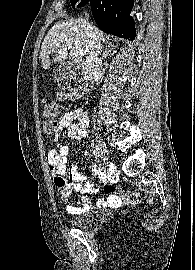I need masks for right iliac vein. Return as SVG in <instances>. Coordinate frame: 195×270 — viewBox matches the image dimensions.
<instances>
[{"instance_id":"63e3f726","label":"right iliac vein","mask_w":195,"mask_h":270,"mask_svg":"<svg viewBox=\"0 0 195 270\" xmlns=\"http://www.w3.org/2000/svg\"><path fill=\"white\" fill-rule=\"evenodd\" d=\"M96 146H97V149H98V153H99L104 165L106 166L108 164L107 147H106L105 143L103 142V140L100 139V138H97Z\"/></svg>"}]
</instances>
